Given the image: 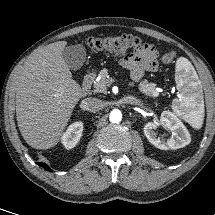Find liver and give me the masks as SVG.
Masks as SVG:
<instances>
[{
	"label": "liver",
	"mask_w": 215,
	"mask_h": 215,
	"mask_svg": "<svg viewBox=\"0 0 215 215\" xmlns=\"http://www.w3.org/2000/svg\"><path fill=\"white\" fill-rule=\"evenodd\" d=\"M67 42L34 51L14 77L16 118L24 140L49 149L61 139L82 89L62 57Z\"/></svg>",
	"instance_id": "liver-1"
}]
</instances>
